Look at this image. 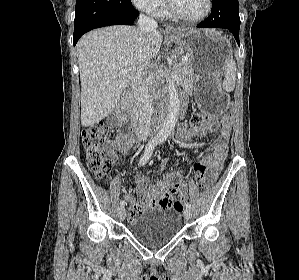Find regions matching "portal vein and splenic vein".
<instances>
[{"label": "portal vein and splenic vein", "instance_id": "18ae733b", "mask_svg": "<svg viewBox=\"0 0 299 280\" xmlns=\"http://www.w3.org/2000/svg\"><path fill=\"white\" fill-rule=\"evenodd\" d=\"M188 61V58L187 57H183L182 58V62H187ZM129 73V70L128 69H123L119 72V74H123V75H126Z\"/></svg>", "mask_w": 299, "mask_h": 280}]
</instances>
